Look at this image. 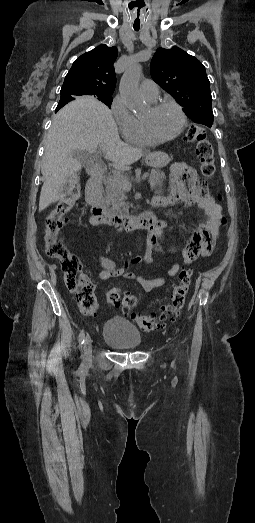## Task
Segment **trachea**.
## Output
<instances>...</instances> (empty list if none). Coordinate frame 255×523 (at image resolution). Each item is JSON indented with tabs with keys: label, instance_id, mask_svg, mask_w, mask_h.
Segmentation results:
<instances>
[{
	"label": "trachea",
	"instance_id": "trachea-1",
	"mask_svg": "<svg viewBox=\"0 0 255 523\" xmlns=\"http://www.w3.org/2000/svg\"><path fill=\"white\" fill-rule=\"evenodd\" d=\"M134 30L138 31V30H139V28H134Z\"/></svg>",
	"mask_w": 255,
	"mask_h": 523
}]
</instances>
